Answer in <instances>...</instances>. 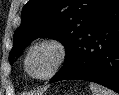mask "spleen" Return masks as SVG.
Masks as SVG:
<instances>
[{
  "instance_id": "1",
  "label": "spleen",
  "mask_w": 119,
  "mask_h": 95,
  "mask_svg": "<svg viewBox=\"0 0 119 95\" xmlns=\"http://www.w3.org/2000/svg\"><path fill=\"white\" fill-rule=\"evenodd\" d=\"M89 87L92 91L93 95H118L112 90H109L108 88H105L99 84L96 83H90Z\"/></svg>"
}]
</instances>
